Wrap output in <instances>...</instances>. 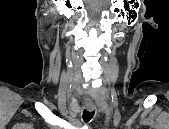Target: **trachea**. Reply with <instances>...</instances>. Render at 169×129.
Instances as JSON below:
<instances>
[{
    "instance_id": "3493384b",
    "label": "trachea",
    "mask_w": 169,
    "mask_h": 129,
    "mask_svg": "<svg viewBox=\"0 0 169 129\" xmlns=\"http://www.w3.org/2000/svg\"><path fill=\"white\" fill-rule=\"evenodd\" d=\"M94 114H95L94 111H89V110H87V109H84L83 115H82L83 120H84L85 122H89V121L93 118Z\"/></svg>"
}]
</instances>
